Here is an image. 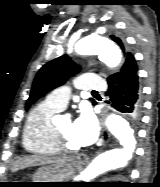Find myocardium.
Returning a JSON list of instances; mask_svg holds the SVG:
<instances>
[{"mask_svg":"<svg viewBox=\"0 0 160 187\" xmlns=\"http://www.w3.org/2000/svg\"><path fill=\"white\" fill-rule=\"evenodd\" d=\"M53 135L55 139L56 146L60 153L65 154H77L81 152V148H71L66 142L64 135L61 133L57 124H53Z\"/></svg>","mask_w":160,"mask_h":187,"instance_id":"myocardium-1","label":"myocardium"}]
</instances>
